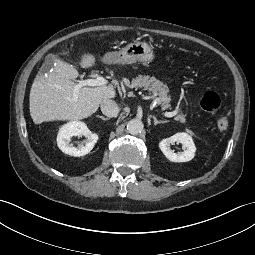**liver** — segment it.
Listing matches in <instances>:
<instances>
[{"label": "liver", "mask_w": 255, "mask_h": 255, "mask_svg": "<svg viewBox=\"0 0 255 255\" xmlns=\"http://www.w3.org/2000/svg\"><path fill=\"white\" fill-rule=\"evenodd\" d=\"M95 64L92 54H84L82 68ZM78 71L60 59H55L51 69L39 73L32 84L29 97L30 115L35 124L55 120L76 121L89 117L97 111L105 99L116 96L112 86L81 87L74 82Z\"/></svg>", "instance_id": "obj_1"}]
</instances>
